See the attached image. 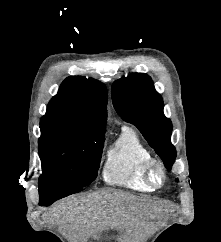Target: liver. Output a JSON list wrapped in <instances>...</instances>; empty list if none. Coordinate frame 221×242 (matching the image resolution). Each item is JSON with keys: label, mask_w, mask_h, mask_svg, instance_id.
<instances>
[{"label": "liver", "mask_w": 221, "mask_h": 242, "mask_svg": "<svg viewBox=\"0 0 221 242\" xmlns=\"http://www.w3.org/2000/svg\"><path fill=\"white\" fill-rule=\"evenodd\" d=\"M159 210L150 200L120 191H99L84 197L61 200L47 213L51 223L61 227L69 242H86L106 229H122L125 242L136 237L145 220Z\"/></svg>", "instance_id": "obj_1"}]
</instances>
